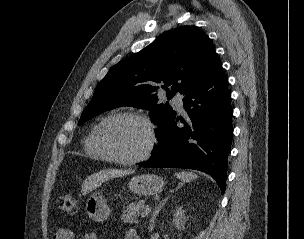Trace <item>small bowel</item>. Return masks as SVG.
Wrapping results in <instances>:
<instances>
[{
	"label": "small bowel",
	"instance_id": "obj_1",
	"mask_svg": "<svg viewBox=\"0 0 304 239\" xmlns=\"http://www.w3.org/2000/svg\"><path fill=\"white\" fill-rule=\"evenodd\" d=\"M137 235L138 234L135 230H129L126 233L125 239H134V237ZM53 239H75V233L73 230L69 228H59L55 232ZM83 239H99V238L95 233L89 232L84 235Z\"/></svg>",
	"mask_w": 304,
	"mask_h": 239
}]
</instances>
